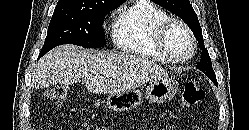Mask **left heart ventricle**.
Listing matches in <instances>:
<instances>
[{"label": "left heart ventricle", "instance_id": "1", "mask_svg": "<svg viewBox=\"0 0 249 130\" xmlns=\"http://www.w3.org/2000/svg\"><path fill=\"white\" fill-rule=\"evenodd\" d=\"M169 52L177 58H185L191 51V42L186 32L179 26H173L167 35Z\"/></svg>", "mask_w": 249, "mask_h": 130}]
</instances>
